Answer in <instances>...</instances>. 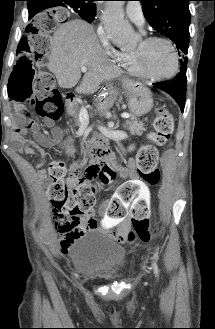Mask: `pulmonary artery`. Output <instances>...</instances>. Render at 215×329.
I'll return each instance as SVG.
<instances>
[{"mask_svg":"<svg viewBox=\"0 0 215 329\" xmlns=\"http://www.w3.org/2000/svg\"><path fill=\"white\" fill-rule=\"evenodd\" d=\"M126 15L130 21L137 25H143L144 15L139 2H130L126 6Z\"/></svg>","mask_w":215,"mask_h":329,"instance_id":"e3ab8cb5","label":"pulmonary artery"}]
</instances>
